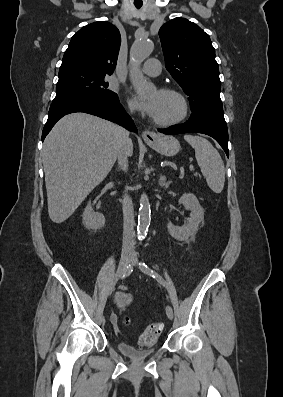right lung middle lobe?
I'll use <instances>...</instances> for the list:
<instances>
[{"mask_svg": "<svg viewBox=\"0 0 283 397\" xmlns=\"http://www.w3.org/2000/svg\"><path fill=\"white\" fill-rule=\"evenodd\" d=\"M106 76L70 73L59 76L56 97L80 95L97 98L105 102H119L116 93L108 89Z\"/></svg>", "mask_w": 283, "mask_h": 397, "instance_id": "right-lung-middle-lobe-1", "label": "right lung middle lobe"}]
</instances>
